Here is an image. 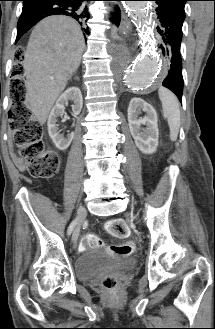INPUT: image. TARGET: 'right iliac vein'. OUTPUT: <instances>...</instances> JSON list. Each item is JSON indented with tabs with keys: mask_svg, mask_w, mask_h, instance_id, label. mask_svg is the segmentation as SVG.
<instances>
[{
	"mask_svg": "<svg viewBox=\"0 0 215 329\" xmlns=\"http://www.w3.org/2000/svg\"><path fill=\"white\" fill-rule=\"evenodd\" d=\"M85 213H86L85 208L80 207L79 210H78V213H77V218H76L77 224H76V227H75V229L73 231V234H72V241H73L74 244L77 243L79 233H80V226H81V223H82V219L85 216Z\"/></svg>",
	"mask_w": 215,
	"mask_h": 329,
	"instance_id": "right-iliac-vein-1",
	"label": "right iliac vein"
}]
</instances>
